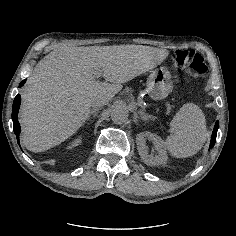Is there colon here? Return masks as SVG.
<instances>
[{"mask_svg": "<svg viewBox=\"0 0 236 236\" xmlns=\"http://www.w3.org/2000/svg\"><path fill=\"white\" fill-rule=\"evenodd\" d=\"M171 60L175 67L184 70L190 78H203L208 67L203 57L193 48H180L173 51Z\"/></svg>", "mask_w": 236, "mask_h": 236, "instance_id": "1", "label": "colon"}]
</instances>
